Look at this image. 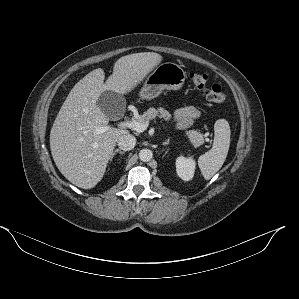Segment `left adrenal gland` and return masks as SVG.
Wrapping results in <instances>:
<instances>
[{
	"label": "left adrenal gland",
	"mask_w": 299,
	"mask_h": 299,
	"mask_svg": "<svg viewBox=\"0 0 299 299\" xmlns=\"http://www.w3.org/2000/svg\"><path fill=\"white\" fill-rule=\"evenodd\" d=\"M169 142H170V139H168L167 141L163 142V145L166 146V145L169 144Z\"/></svg>",
	"instance_id": "1"
}]
</instances>
